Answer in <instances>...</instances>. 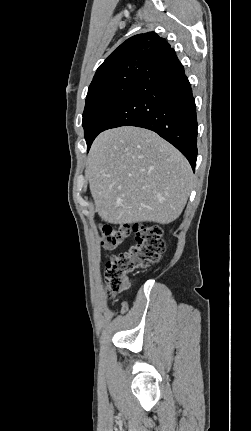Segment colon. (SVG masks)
<instances>
[{"label":"colon","mask_w":251,"mask_h":431,"mask_svg":"<svg viewBox=\"0 0 251 431\" xmlns=\"http://www.w3.org/2000/svg\"><path fill=\"white\" fill-rule=\"evenodd\" d=\"M131 230L136 234V243L106 263L105 282L111 296L123 292L129 276L157 262L165 249L163 231L158 225H125L116 228L105 224L101 226V244L106 249H115L129 236ZM125 309L126 305L123 304L121 311Z\"/></svg>","instance_id":"obj_1"}]
</instances>
